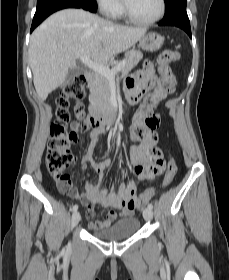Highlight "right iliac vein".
<instances>
[{
    "label": "right iliac vein",
    "instance_id": "obj_1",
    "mask_svg": "<svg viewBox=\"0 0 229 280\" xmlns=\"http://www.w3.org/2000/svg\"><path fill=\"white\" fill-rule=\"evenodd\" d=\"M80 219H81L80 212H78V211L74 212L72 215V221H71L72 228L75 227L79 223Z\"/></svg>",
    "mask_w": 229,
    "mask_h": 280
}]
</instances>
